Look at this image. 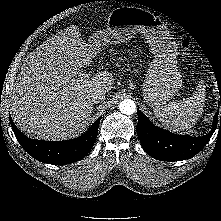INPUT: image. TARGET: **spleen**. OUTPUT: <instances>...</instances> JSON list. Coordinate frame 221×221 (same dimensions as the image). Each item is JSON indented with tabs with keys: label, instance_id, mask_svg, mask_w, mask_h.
<instances>
[{
	"label": "spleen",
	"instance_id": "obj_1",
	"mask_svg": "<svg viewBox=\"0 0 221 221\" xmlns=\"http://www.w3.org/2000/svg\"><path fill=\"white\" fill-rule=\"evenodd\" d=\"M205 98V88L200 82L191 97L162 107L155 106L153 112L166 128L183 131L191 128L202 114Z\"/></svg>",
	"mask_w": 221,
	"mask_h": 221
}]
</instances>
